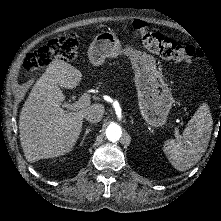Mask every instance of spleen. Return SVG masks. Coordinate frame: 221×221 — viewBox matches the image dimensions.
<instances>
[{
	"label": "spleen",
	"mask_w": 221,
	"mask_h": 221,
	"mask_svg": "<svg viewBox=\"0 0 221 221\" xmlns=\"http://www.w3.org/2000/svg\"><path fill=\"white\" fill-rule=\"evenodd\" d=\"M209 106L203 103L189 120L181 137L165 141L163 151L178 171H187L200 161L212 132Z\"/></svg>",
	"instance_id": "spleen-1"
}]
</instances>
